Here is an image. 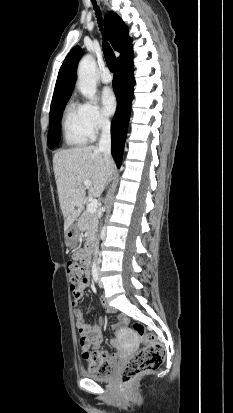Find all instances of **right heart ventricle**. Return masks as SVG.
Instances as JSON below:
<instances>
[{
	"mask_svg": "<svg viewBox=\"0 0 233 413\" xmlns=\"http://www.w3.org/2000/svg\"><path fill=\"white\" fill-rule=\"evenodd\" d=\"M64 143L69 147H80L89 143L94 137L89 132L82 105L71 102L67 105L62 118Z\"/></svg>",
	"mask_w": 233,
	"mask_h": 413,
	"instance_id": "1",
	"label": "right heart ventricle"
}]
</instances>
